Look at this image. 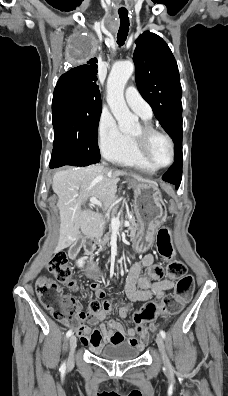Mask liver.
<instances>
[{"mask_svg":"<svg viewBox=\"0 0 228 396\" xmlns=\"http://www.w3.org/2000/svg\"><path fill=\"white\" fill-rule=\"evenodd\" d=\"M127 175L119 170H109L101 165L72 167L57 172L53 177L52 189L58 196L60 214L59 240L55 251H60L74 242L80 234L98 237L101 233L99 216L82 205L91 197L101 200L108 208L116 200L119 176ZM140 182H151L131 175Z\"/></svg>","mask_w":228,"mask_h":396,"instance_id":"liver-1","label":"liver"}]
</instances>
